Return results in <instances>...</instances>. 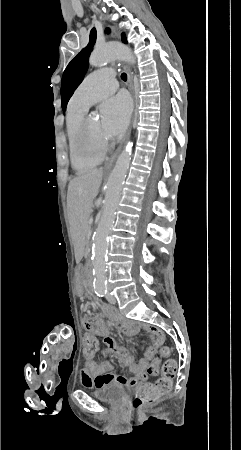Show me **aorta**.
<instances>
[{
	"instance_id": "obj_1",
	"label": "aorta",
	"mask_w": 241,
	"mask_h": 450,
	"mask_svg": "<svg viewBox=\"0 0 241 450\" xmlns=\"http://www.w3.org/2000/svg\"><path fill=\"white\" fill-rule=\"evenodd\" d=\"M116 59H121L132 64L135 62L131 49L121 43H107L97 47L92 52L89 62L91 66L101 67ZM131 155L132 144H128L119 155L109 176L102 215L93 236L92 265L94 284L97 287L104 286L106 283L108 236L115 221L116 209L130 166Z\"/></svg>"
}]
</instances>
